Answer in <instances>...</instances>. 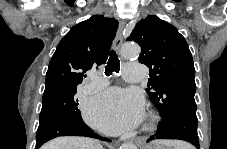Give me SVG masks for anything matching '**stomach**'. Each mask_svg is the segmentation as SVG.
I'll return each mask as SVG.
<instances>
[{"instance_id":"stomach-1","label":"stomach","mask_w":227,"mask_h":149,"mask_svg":"<svg viewBox=\"0 0 227 149\" xmlns=\"http://www.w3.org/2000/svg\"><path fill=\"white\" fill-rule=\"evenodd\" d=\"M146 149H166V148L163 145H161V144H155V145L150 146V147H148Z\"/></svg>"}]
</instances>
